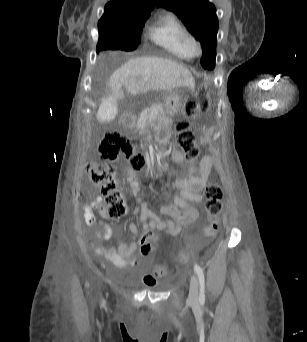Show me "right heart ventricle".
<instances>
[{"mask_svg": "<svg viewBox=\"0 0 307 342\" xmlns=\"http://www.w3.org/2000/svg\"><path fill=\"white\" fill-rule=\"evenodd\" d=\"M191 36L189 24L175 12H170L165 18L163 28L150 39L173 58L189 60L192 58L189 49Z\"/></svg>", "mask_w": 307, "mask_h": 342, "instance_id": "1", "label": "right heart ventricle"}]
</instances>
